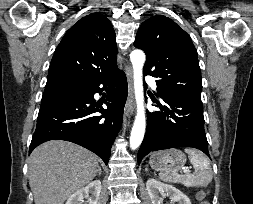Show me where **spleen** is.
I'll return each instance as SVG.
<instances>
[{
  "mask_svg": "<svg viewBox=\"0 0 253 204\" xmlns=\"http://www.w3.org/2000/svg\"><path fill=\"white\" fill-rule=\"evenodd\" d=\"M189 160L194 167V173L179 175L177 173H160L159 177L164 182L182 183L186 187L201 186L206 187L213 178V171L209 159L201 152L187 148Z\"/></svg>",
  "mask_w": 253,
  "mask_h": 204,
  "instance_id": "obj_1",
  "label": "spleen"
}]
</instances>
